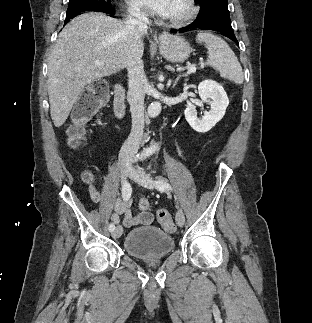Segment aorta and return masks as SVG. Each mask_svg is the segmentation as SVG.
Instances as JSON below:
<instances>
[{
	"mask_svg": "<svg viewBox=\"0 0 312 323\" xmlns=\"http://www.w3.org/2000/svg\"><path fill=\"white\" fill-rule=\"evenodd\" d=\"M161 110H162V106L160 102H153V104H150L148 108V116H150V118H156V116L160 114ZM157 148H158V144H156V146H152V148H149V152H155Z\"/></svg>",
	"mask_w": 312,
	"mask_h": 323,
	"instance_id": "aorta-1",
	"label": "aorta"
}]
</instances>
